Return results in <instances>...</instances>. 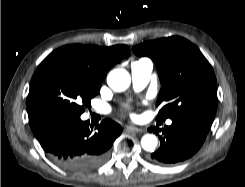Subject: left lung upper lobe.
<instances>
[{
	"instance_id": "obj_1",
	"label": "left lung upper lobe",
	"mask_w": 245,
	"mask_h": 187,
	"mask_svg": "<svg viewBox=\"0 0 245 187\" xmlns=\"http://www.w3.org/2000/svg\"><path fill=\"white\" fill-rule=\"evenodd\" d=\"M139 56L156 64L162 90L157 105H162L157 120L191 117L214 118L217 105L215 73L190 41L172 36L144 42L132 48Z\"/></svg>"
}]
</instances>
